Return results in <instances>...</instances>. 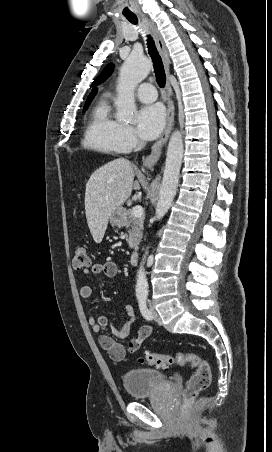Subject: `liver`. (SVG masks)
Returning <instances> with one entry per match:
<instances>
[{
  "mask_svg": "<svg viewBox=\"0 0 272 452\" xmlns=\"http://www.w3.org/2000/svg\"><path fill=\"white\" fill-rule=\"evenodd\" d=\"M133 180V165L125 158L103 165L90 176L85 191V212L96 243L103 240L111 214L131 195Z\"/></svg>",
  "mask_w": 272,
  "mask_h": 452,
  "instance_id": "6515ba94",
  "label": "liver"
}]
</instances>
